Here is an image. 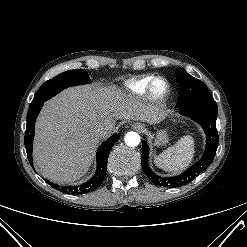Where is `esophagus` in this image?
Here are the masks:
<instances>
[{"label": "esophagus", "instance_id": "esophagus-1", "mask_svg": "<svg viewBox=\"0 0 247 247\" xmlns=\"http://www.w3.org/2000/svg\"><path fill=\"white\" fill-rule=\"evenodd\" d=\"M133 128H134L136 131H139V132H141V131L144 130V126H143L142 124H140V123H134V124H133Z\"/></svg>", "mask_w": 247, "mask_h": 247}]
</instances>
